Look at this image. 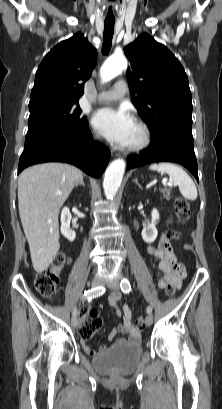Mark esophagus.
<instances>
[{"mask_svg":"<svg viewBox=\"0 0 222 409\" xmlns=\"http://www.w3.org/2000/svg\"><path fill=\"white\" fill-rule=\"evenodd\" d=\"M111 154L115 156L117 155V152L115 150H111Z\"/></svg>","mask_w":222,"mask_h":409,"instance_id":"esophagus-1","label":"esophagus"}]
</instances>
